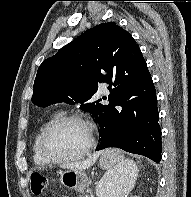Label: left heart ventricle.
<instances>
[{
    "mask_svg": "<svg viewBox=\"0 0 191 197\" xmlns=\"http://www.w3.org/2000/svg\"><path fill=\"white\" fill-rule=\"evenodd\" d=\"M89 142L88 129L76 121H67L56 126L48 136L50 151L62 157L76 155L83 151Z\"/></svg>",
    "mask_w": 191,
    "mask_h": 197,
    "instance_id": "obj_1",
    "label": "left heart ventricle"
}]
</instances>
